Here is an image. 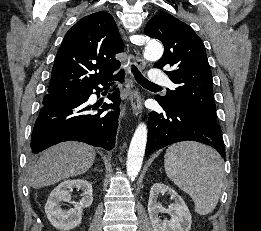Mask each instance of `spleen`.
I'll return each mask as SVG.
<instances>
[{
	"label": "spleen",
	"mask_w": 261,
	"mask_h": 231,
	"mask_svg": "<svg viewBox=\"0 0 261 231\" xmlns=\"http://www.w3.org/2000/svg\"><path fill=\"white\" fill-rule=\"evenodd\" d=\"M164 167L168 178L191 196L198 214L214 210L224 179L223 160L214 149L196 142L173 144L166 151Z\"/></svg>",
	"instance_id": "spleen-1"
}]
</instances>
